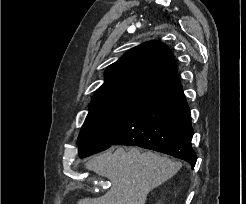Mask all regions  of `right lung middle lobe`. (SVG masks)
Instances as JSON below:
<instances>
[{"mask_svg": "<svg viewBox=\"0 0 246 204\" xmlns=\"http://www.w3.org/2000/svg\"><path fill=\"white\" fill-rule=\"evenodd\" d=\"M134 100L126 98L90 103L89 113L79 134L80 157L101 152L112 145Z\"/></svg>", "mask_w": 246, "mask_h": 204, "instance_id": "obj_1", "label": "right lung middle lobe"}]
</instances>
